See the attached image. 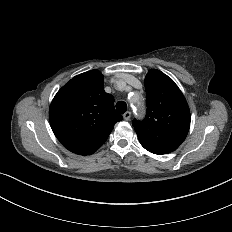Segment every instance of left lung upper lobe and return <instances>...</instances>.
I'll return each instance as SVG.
<instances>
[{
  "label": "left lung upper lobe",
  "instance_id": "1",
  "mask_svg": "<svg viewBox=\"0 0 232 232\" xmlns=\"http://www.w3.org/2000/svg\"><path fill=\"white\" fill-rule=\"evenodd\" d=\"M147 114L133 120L141 145L146 149L176 150L190 127V110L175 82L159 70H150L144 81Z\"/></svg>",
  "mask_w": 232,
  "mask_h": 232
}]
</instances>
